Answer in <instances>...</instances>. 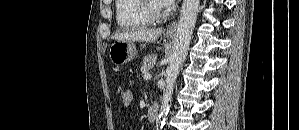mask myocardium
Masks as SVG:
<instances>
[{
    "mask_svg": "<svg viewBox=\"0 0 299 130\" xmlns=\"http://www.w3.org/2000/svg\"><path fill=\"white\" fill-rule=\"evenodd\" d=\"M145 13L153 20H160L168 15V6L161 0H145L143 2Z\"/></svg>",
    "mask_w": 299,
    "mask_h": 130,
    "instance_id": "myocardium-1",
    "label": "myocardium"
}]
</instances>
